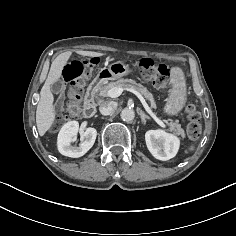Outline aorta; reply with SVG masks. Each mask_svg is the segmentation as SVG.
<instances>
[{"mask_svg":"<svg viewBox=\"0 0 236 236\" xmlns=\"http://www.w3.org/2000/svg\"><path fill=\"white\" fill-rule=\"evenodd\" d=\"M120 117L123 121H132L135 117V112L131 108H124L120 113Z\"/></svg>","mask_w":236,"mask_h":236,"instance_id":"762f6f07","label":"aorta"}]
</instances>
